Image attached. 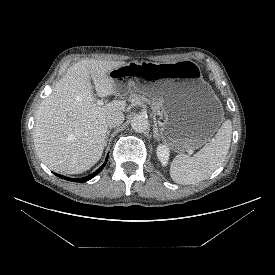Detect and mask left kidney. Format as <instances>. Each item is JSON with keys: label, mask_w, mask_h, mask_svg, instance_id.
Instances as JSON below:
<instances>
[{"label": "left kidney", "mask_w": 275, "mask_h": 275, "mask_svg": "<svg viewBox=\"0 0 275 275\" xmlns=\"http://www.w3.org/2000/svg\"><path fill=\"white\" fill-rule=\"evenodd\" d=\"M157 157L160 160L162 166H166L169 160V149L166 145H158L157 147Z\"/></svg>", "instance_id": "5707ae66"}]
</instances>
